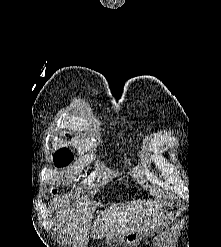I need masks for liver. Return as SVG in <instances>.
<instances>
[{
	"instance_id": "6515ba94",
	"label": "liver",
	"mask_w": 221,
	"mask_h": 247,
	"mask_svg": "<svg viewBox=\"0 0 221 247\" xmlns=\"http://www.w3.org/2000/svg\"><path fill=\"white\" fill-rule=\"evenodd\" d=\"M156 202H131L126 206L113 204L96 217L91 228L92 236L107 238L129 231H144L152 228L156 217ZM63 237L72 247H86L91 215L81 206H66L56 212Z\"/></svg>"
}]
</instances>
